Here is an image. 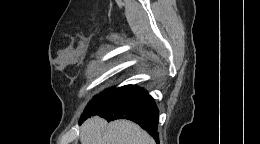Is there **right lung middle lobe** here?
I'll list each match as a JSON object with an SVG mask.
<instances>
[{
    "label": "right lung middle lobe",
    "mask_w": 260,
    "mask_h": 144,
    "mask_svg": "<svg viewBox=\"0 0 260 144\" xmlns=\"http://www.w3.org/2000/svg\"><path fill=\"white\" fill-rule=\"evenodd\" d=\"M125 87L126 86H122L119 88H111L95 96L86 106L83 114L81 115V118L90 115L96 108L104 104L106 101H108L110 98H112Z\"/></svg>",
    "instance_id": "obj_1"
}]
</instances>
